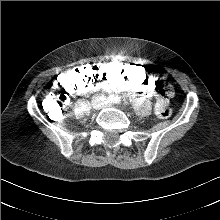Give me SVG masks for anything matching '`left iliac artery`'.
<instances>
[{"mask_svg":"<svg viewBox=\"0 0 220 220\" xmlns=\"http://www.w3.org/2000/svg\"><path fill=\"white\" fill-rule=\"evenodd\" d=\"M112 103H120L121 102V99L118 95L114 96L112 95V98H111V101Z\"/></svg>","mask_w":220,"mask_h":220,"instance_id":"obj_1","label":"left iliac artery"}]
</instances>
